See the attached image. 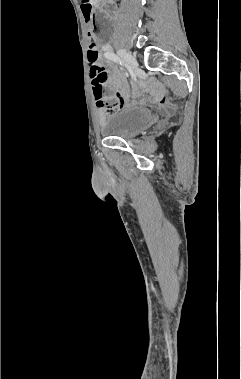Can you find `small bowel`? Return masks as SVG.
<instances>
[{
	"mask_svg": "<svg viewBox=\"0 0 241 379\" xmlns=\"http://www.w3.org/2000/svg\"><path fill=\"white\" fill-rule=\"evenodd\" d=\"M106 79L105 83L109 86L110 89L114 90L115 95L121 102L122 108H127L131 105L129 102L130 89L125 83L123 76L116 67H111L110 75L107 74L106 70ZM93 85V82H92ZM94 92V91H93ZM148 93L149 97L144 100V103L156 104L159 103L165 107H169L170 103L168 102L165 94V90L162 86L155 82H140L138 85H134L131 91V94L134 98L132 105L139 103V98L142 93ZM101 120L105 119L103 114L100 115Z\"/></svg>",
	"mask_w": 241,
	"mask_h": 379,
	"instance_id": "c3829d8e",
	"label": "small bowel"
}]
</instances>
